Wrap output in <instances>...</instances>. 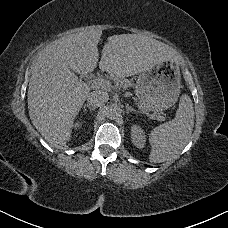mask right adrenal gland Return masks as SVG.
I'll list each match as a JSON object with an SVG mask.
<instances>
[{
  "mask_svg": "<svg viewBox=\"0 0 228 228\" xmlns=\"http://www.w3.org/2000/svg\"><path fill=\"white\" fill-rule=\"evenodd\" d=\"M86 107H87L91 112H93V111L96 109L95 107H91V106H89L88 104H85V105H84V110H83L84 113H87ZM92 115H93V114H92Z\"/></svg>",
  "mask_w": 228,
  "mask_h": 228,
  "instance_id": "obj_1",
  "label": "right adrenal gland"
}]
</instances>
